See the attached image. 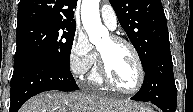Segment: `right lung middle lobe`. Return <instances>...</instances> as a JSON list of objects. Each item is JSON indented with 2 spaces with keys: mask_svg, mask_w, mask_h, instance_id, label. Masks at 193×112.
I'll return each instance as SVG.
<instances>
[{
  "mask_svg": "<svg viewBox=\"0 0 193 112\" xmlns=\"http://www.w3.org/2000/svg\"><path fill=\"white\" fill-rule=\"evenodd\" d=\"M75 28V24L37 23L17 29L14 68L37 58L69 68Z\"/></svg>",
  "mask_w": 193,
  "mask_h": 112,
  "instance_id": "1",
  "label": "right lung middle lobe"
}]
</instances>
